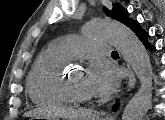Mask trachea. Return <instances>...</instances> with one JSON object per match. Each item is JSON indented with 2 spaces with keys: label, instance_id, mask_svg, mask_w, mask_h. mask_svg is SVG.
<instances>
[{
  "label": "trachea",
  "instance_id": "3493384b",
  "mask_svg": "<svg viewBox=\"0 0 165 120\" xmlns=\"http://www.w3.org/2000/svg\"><path fill=\"white\" fill-rule=\"evenodd\" d=\"M111 55H118L117 51H113Z\"/></svg>",
  "mask_w": 165,
  "mask_h": 120
}]
</instances>
